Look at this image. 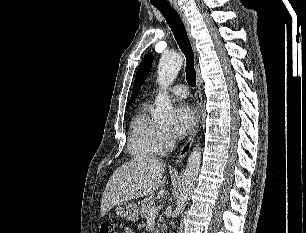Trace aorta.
<instances>
[{"mask_svg": "<svg viewBox=\"0 0 306 233\" xmlns=\"http://www.w3.org/2000/svg\"><path fill=\"white\" fill-rule=\"evenodd\" d=\"M183 64L180 54L162 55L158 65V84L162 88H167L176 79ZM173 121V107L169 96L165 93L159 94L156 98V110L154 112V122L158 127H168ZM201 165V148L197 144L188 157L186 168L183 172L179 194L177 197L176 213H182L190 200L194 189L198 172Z\"/></svg>", "mask_w": 306, "mask_h": 233, "instance_id": "obj_1", "label": "aorta"}]
</instances>
